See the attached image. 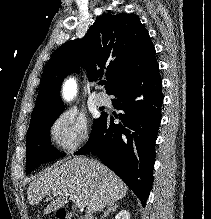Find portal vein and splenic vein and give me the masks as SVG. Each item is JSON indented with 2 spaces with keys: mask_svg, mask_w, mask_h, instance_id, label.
<instances>
[{
  "mask_svg": "<svg viewBox=\"0 0 211 219\" xmlns=\"http://www.w3.org/2000/svg\"><path fill=\"white\" fill-rule=\"evenodd\" d=\"M70 200H72L78 208H83L85 206L82 200L77 195H70Z\"/></svg>",
  "mask_w": 211,
  "mask_h": 219,
  "instance_id": "1",
  "label": "portal vein and splenic vein"
}]
</instances>
